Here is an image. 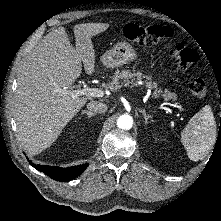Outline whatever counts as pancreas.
I'll return each mask as SVG.
<instances>
[{
    "label": "pancreas",
    "mask_w": 221,
    "mask_h": 221,
    "mask_svg": "<svg viewBox=\"0 0 221 221\" xmlns=\"http://www.w3.org/2000/svg\"><path fill=\"white\" fill-rule=\"evenodd\" d=\"M145 78V83L147 85H150V76L148 75H142L140 72H131L130 70H122V71H116L112 81L109 83V88L112 91H116L121 88L123 83L126 84H132L133 86L138 85V81ZM156 86V85H154ZM159 95L163 96L165 100H176V94L172 93L169 90L162 91L161 89L154 91L153 96L158 97Z\"/></svg>",
    "instance_id": "pancreas-1"
}]
</instances>
